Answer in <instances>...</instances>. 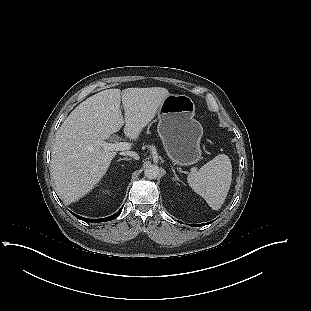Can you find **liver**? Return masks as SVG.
Masks as SVG:
<instances>
[{"label":"liver","mask_w":311,"mask_h":311,"mask_svg":"<svg viewBox=\"0 0 311 311\" xmlns=\"http://www.w3.org/2000/svg\"><path fill=\"white\" fill-rule=\"evenodd\" d=\"M169 94L161 87L107 89L69 114L56 134L51 157V175L67 203L90 192L107 172L117 152L105 150L103 142L124 123L125 135L137 140Z\"/></svg>","instance_id":"1"}]
</instances>
